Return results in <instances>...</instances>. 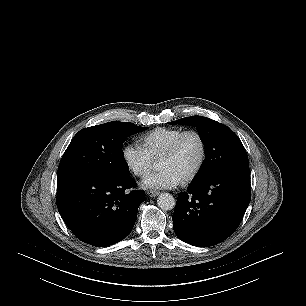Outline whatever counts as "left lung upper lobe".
Returning <instances> with one entry per match:
<instances>
[{"label": "left lung upper lobe", "instance_id": "left-lung-upper-lobe-1", "mask_svg": "<svg viewBox=\"0 0 306 306\" xmlns=\"http://www.w3.org/2000/svg\"><path fill=\"white\" fill-rule=\"evenodd\" d=\"M171 124L196 126L205 146L204 162L193 180L221 170L249 168L248 156L243 144L238 136L224 124L202 116L181 118Z\"/></svg>", "mask_w": 306, "mask_h": 306}]
</instances>
